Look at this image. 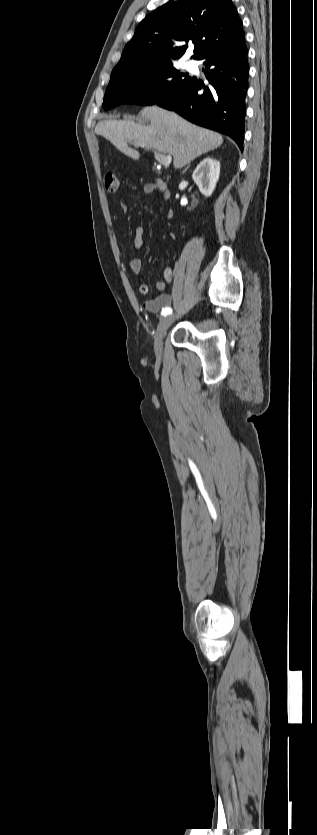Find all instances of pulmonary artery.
Returning a JSON list of instances; mask_svg holds the SVG:
<instances>
[{
    "label": "pulmonary artery",
    "mask_w": 317,
    "mask_h": 835,
    "mask_svg": "<svg viewBox=\"0 0 317 835\" xmlns=\"http://www.w3.org/2000/svg\"><path fill=\"white\" fill-rule=\"evenodd\" d=\"M185 67L188 70H194V69H196V62L193 61V60H189V61L186 62Z\"/></svg>",
    "instance_id": "obj_1"
}]
</instances>
